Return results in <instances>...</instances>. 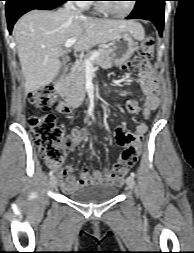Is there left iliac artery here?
I'll return each instance as SVG.
<instances>
[{"label": "left iliac artery", "instance_id": "obj_1", "mask_svg": "<svg viewBox=\"0 0 194 253\" xmlns=\"http://www.w3.org/2000/svg\"><path fill=\"white\" fill-rule=\"evenodd\" d=\"M130 176L134 178L136 175H135L134 172H131V173H130Z\"/></svg>", "mask_w": 194, "mask_h": 253}]
</instances>
